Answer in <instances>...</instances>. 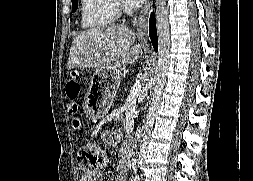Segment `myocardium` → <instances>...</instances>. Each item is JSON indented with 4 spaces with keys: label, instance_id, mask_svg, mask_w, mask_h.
I'll return each instance as SVG.
<instances>
[{
    "label": "myocardium",
    "instance_id": "myocardium-1",
    "mask_svg": "<svg viewBox=\"0 0 253 181\" xmlns=\"http://www.w3.org/2000/svg\"><path fill=\"white\" fill-rule=\"evenodd\" d=\"M112 1L114 3L115 13H118L119 12V0H112Z\"/></svg>",
    "mask_w": 253,
    "mask_h": 181
}]
</instances>
